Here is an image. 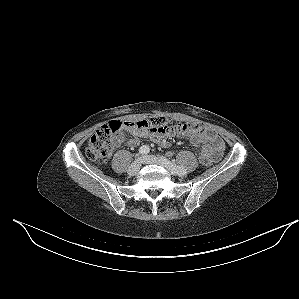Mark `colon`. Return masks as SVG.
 I'll return each instance as SVG.
<instances>
[{"label": "colon", "mask_w": 299, "mask_h": 299, "mask_svg": "<svg viewBox=\"0 0 299 299\" xmlns=\"http://www.w3.org/2000/svg\"><path fill=\"white\" fill-rule=\"evenodd\" d=\"M149 129L158 133H168L179 136H190L192 133L200 130L201 125L195 122L172 125L166 117L154 116L146 120L137 122H126L113 120L102 125L91 137L86 155L92 161L104 160L114 147L115 134L121 128ZM200 161L204 166H210L211 160L203 153L200 155Z\"/></svg>", "instance_id": "5ec220e1"}]
</instances>
